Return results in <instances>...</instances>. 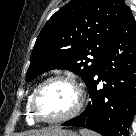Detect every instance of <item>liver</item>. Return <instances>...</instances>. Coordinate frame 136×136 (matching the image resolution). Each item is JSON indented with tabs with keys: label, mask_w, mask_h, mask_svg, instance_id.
Listing matches in <instances>:
<instances>
[{
	"label": "liver",
	"mask_w": 136,
	"mask_h": 136,
	"mask_svg": "<svg viewBox=\"0 0 136 136\" xmlns=\"http://www.w3.org/2000/svg\"><path fill=\"white\" fill-rule=\"evenodd\" d=\"M53 130L54 129H43L41 131H33L31 136H49Z\"/></svg>",
	"instance_id": "6515ba94"
}]
</instances>
